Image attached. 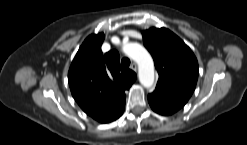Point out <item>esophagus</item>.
Segmentation results:
<instances>
[{"label":"esophagus","instance_id":"obj_1","mask_svg":"<svg viewBox=\"0 0 247 145\" xmlns=\"http://www.w3.org/2000/svg\"><path fill=\"white\" fill-rule=\"evenodd\" d=\"M130 68L134 71H137V64L135 62H133L130 66Z\"/></svg>","mask_w":247,"mask_h":145}]
</instances>
